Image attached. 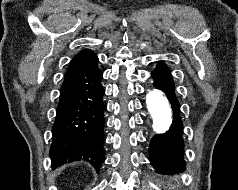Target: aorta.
Instances as JSON below:
<instances>
[{
	"instance_id": "1",
	"label": "aorta",
	"mask_w": 238,
	"mask_h": 190,
	"mask_svg": "<svg viewBox=\"0 0 238 190\" xmlns=\"http://www.w3.org/2000/svg\"><path fill=\"white\" fill-rule=\"evenodd\" d=\"M147 109L153 119V129L157 133L167 131L172 123V110L164 93L151 89L146 95Z\"/></svg>"
}]
</instances>
